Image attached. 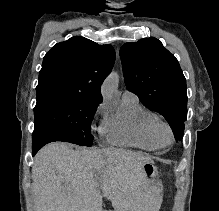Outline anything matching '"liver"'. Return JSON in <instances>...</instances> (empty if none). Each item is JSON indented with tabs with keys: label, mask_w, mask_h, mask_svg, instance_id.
Masks as SVG:
<instances>
[{
	"label": "liver",
	"mask_w": 219,
	"mask_h": 211,
	"mask_svg": "<svg viewBox=\"0 0 219 211\" xmlns=\"http://www.w3.org/2000/svg\"><path fill=\"white\" fill-rule=\"evenodd\" d=\"M147 153L130 149H73L63 141L44 145L32 165L35 211H151V191L142 179Z\"/></svg>",
	"instance_id": "liver-1"
}]
</instances>
